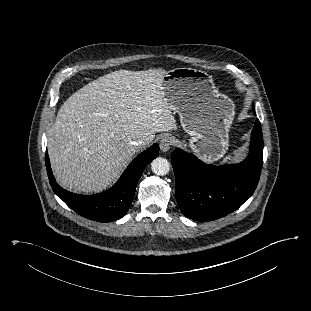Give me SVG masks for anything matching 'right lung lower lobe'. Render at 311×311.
Listing matches in <instances>:
<instances>
[{
  "instance_id": "right-lung-lower-lobe-1",
  "label": "right lung lower lobe",
  "mask_w": 311,
  "mask_h": 311,
  "mask_svg": "<svg viewBox=\"0 0 311 311\" xmlns=\"http://www.w3.org/2000/svg\"><path fill=\"white\" fill-rule=\"evenodd\" d=\"M159 146L154 144L138 155L126 168L118 182L96 195H78L61 188L50 168L49 156L45 162L50 185L55 194L81 216L98 222H111L124 216L132 203L135 188L144 168L158 156Z\"/></svg>"
}]
</instances>
